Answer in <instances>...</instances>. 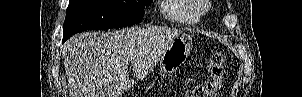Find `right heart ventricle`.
Listing matches in <instances>:
<instances>
[{
    "mask_svg": "<svg viewBox=\"0 0 302 97\" xmlns=\"http://www.w3.org/2000/svg\"><path fill=\"white\" fill-rule=\"evenodd\" d=\"M160 11L166 19L177 24L193 25L199 22V15L188 0H164Z\"/></svg>",
    "mask_w": 302,
    "mask_h": 97,
    "instance_id": "obj_1",
    "label": "right heart ventricle"
}]
</instances>
